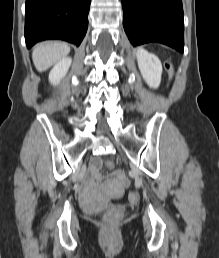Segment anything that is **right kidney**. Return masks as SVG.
<instances>
[{
	"label": "right kidney",
	"mask_w": 219,
	"mask_h": 258,
	"mask_svg": "<svg viewBox=\"0 0 219 258\" xmlns=\"http://www.w3.org/2000/svg\"><path fill=\"white\" fill-rule=\"evenodd\" d=\"M72 63L70 57H64L58 61L49 73V81L52 84H57L67 74L69 67Z\"/></svg>",
	"instance_id": "1"
}]
</instances>
